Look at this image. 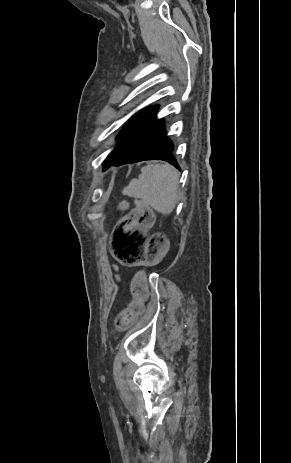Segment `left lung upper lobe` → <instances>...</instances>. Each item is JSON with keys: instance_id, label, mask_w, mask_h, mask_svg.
I'll return each mask as SVG.
<instances>
[{"instance_id": "left-lung-upper-lobe-1", "label": "left lung upper lobe", "mask_w": 291, "mask_h": 463, "mask_svg": "<svg viewBox=\"0 0 291 463\" xmlns=\"http://www.w3.org/2000/svg\"><path fill=\"white\" fill-rule=\"evenodd\" d=\"M157 108L158 106H153L131 117L119 134L116 147L106 160L121 158L143 142L145 137L161 123V120H155L154 117Z\"/></svg>"}]
</instances>
